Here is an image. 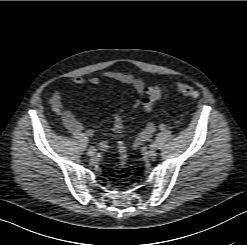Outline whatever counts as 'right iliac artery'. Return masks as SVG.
<instances>
[{
  "label": "right iliac artery",
  "mask_w": 247,
  "mask_h": 245,
  "mask_svg": "<svg viewBox=\"0 0 247 245\" xmlns=\"http://www.w3.org/2000/svg\"><path fill=\"white\" fill-rule=\"evenodd\" d=\"M90 149L95 151V148L94 147H90Z\"/></svg>",
  "instance_id": "82829eb1"
}]
</instances>
